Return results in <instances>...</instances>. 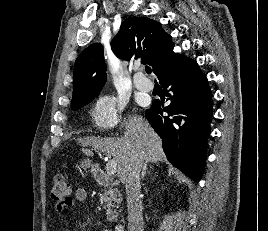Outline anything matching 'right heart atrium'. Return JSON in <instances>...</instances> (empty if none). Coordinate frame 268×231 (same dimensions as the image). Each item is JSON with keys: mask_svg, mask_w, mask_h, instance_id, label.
Returning a JSON list of instances; mask_svg holds the SVG:
<instances>
[{"mask_svg": "<svg viewBox=\"0 0 268 231\" xmlns=\"http://www.w3.org/2000/svg\"><path fill=\"white\" fill-rule=\"evenodd\" d=\"M123 109L124 102L120 97L103 94L94 101L90 115L96 127L102 130H112L116 127Z\"/></svg>", "mask_w": 268, "mask_h": 231, "instance_id": "d8ad5b80", "label": "right heart atrium"}]
</instances>
